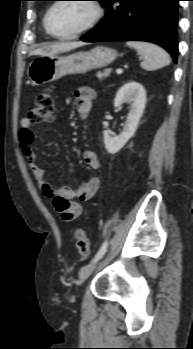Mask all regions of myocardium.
I'll return each mask as SVG.
<instances>
[{"instance_id":"f54148a6","label":"myocardium","mask_w":193,"mask_h":349,"mask_svg":"<svg viewBox=\"0 0 193 349\" xmlns=\"http://www.w3.org/2000/svg\"><path fill=\"white\" fill-rule=\"evenodd\" d=\"M62 1L65 0H57L55 1L53 4L50 5V7L46 10V13L44 15V27L46 32L53 38L58 39V40H70V39H75L80 37L81 35L87 33L88 31H90L91 29H93L103 18L104 16V8L102 6V4L97 1V0H85L83 2H89L90 5L93 7L94 9V17L92 18V20L83 28L77 30L76 32L72 33V34H68V35H58L56 33H54L50 27L49 24V18H50V14L53 11V9L59 5L60 3H64Z\"/></svg>"}]
</instances>
